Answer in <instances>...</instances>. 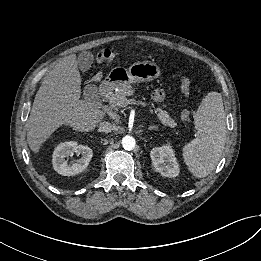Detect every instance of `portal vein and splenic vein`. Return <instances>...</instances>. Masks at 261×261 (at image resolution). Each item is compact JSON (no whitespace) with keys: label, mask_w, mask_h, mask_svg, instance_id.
Wrapping results in <instances>:
<instances>
[{"label":"portal vein and splenic vein","mask_w":261,"mask_h":261,"mask_svg":"<svg viewBox=\"0 0 261 261\" xmlns=\"http://www.w3.org/2000/svg\"><path fill=\"white\" fill-rule=\"evenodd\" d=\"M127 104H137L134 100H124V102L119 103L120 107H125Z\"/></svg>","instance_id":"portal-vein-and-splenic-vein-1"}]
</instances>
